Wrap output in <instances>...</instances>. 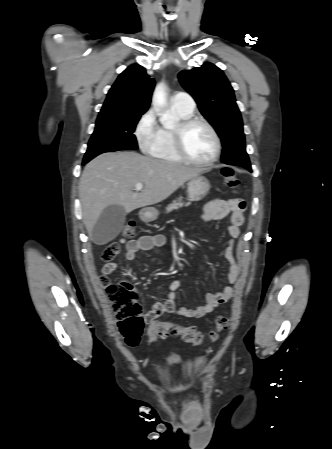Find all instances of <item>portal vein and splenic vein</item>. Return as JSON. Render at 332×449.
I'll list each match as a JSON object with an SVG mask.
<instances>
[{
    "label": "portal vein and splenic vein",
    "mask_w": 332,
    "mask_h": 449,
    "mask_svg": "<svg viewBox=\"0 0 332 449\" xmlns=\"http://www.w3.org/2000/svg\"><path fill=\"white\" fill-rule=\"evenodd\" d=\"M142 188H143V184H142V183H137V184L135 185V190H136V191H140V190H142Z\"/></svg>",
    "instance_id": "18ae733b"
}]
</instances>
